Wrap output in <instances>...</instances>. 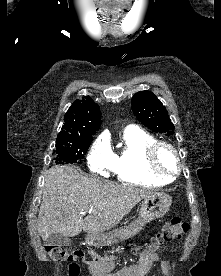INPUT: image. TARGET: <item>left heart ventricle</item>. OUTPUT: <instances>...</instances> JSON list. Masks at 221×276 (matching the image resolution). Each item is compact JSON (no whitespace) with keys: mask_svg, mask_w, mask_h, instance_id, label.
Segmentation results:
<instances>
[{"mask_svg":"<svg viewBox=\"0 0 221 276\" xmlns=\"http://www.w3.org/2000/svg\"><path fill=\"white\" fill-rule=\"evenodd\" d=\"M159 164L162 168L166 170H174L176 167V162L173 154L167 150L162 149L159 153Z\"/></svg>","mask_w":221,"mask_h":276,"instance_id":"left-heart-ventricle-1","label":"left heart ventricle"}]
</instances>
